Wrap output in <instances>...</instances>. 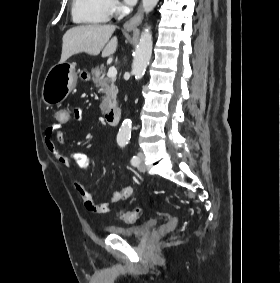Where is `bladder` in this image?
Wrapping results in <instances>:
<instances>
[{
    "mask_svg": "<svg viewBox=\"0 0 280 283\" xmlns=\"http://www.w3.org/2000/svg\"><path fill=\"white\" fill-rule=\"evenodd\" d=\"M161 223V219L154 218L141 225H113L108 226V234L117 235L128 239L141 240L155 231Z\"/></svg>",
    "mask_w": 280,
    "mask_h": 283,
    "instance_id": "31cf9c89",
    "label": "bladder"
}]
</instances>
